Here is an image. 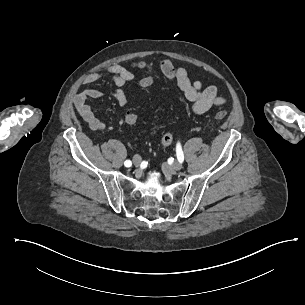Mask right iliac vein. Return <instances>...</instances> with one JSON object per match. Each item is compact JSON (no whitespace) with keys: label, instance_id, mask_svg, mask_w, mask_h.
I'll return each mask as SVG.
<instances>
[{"label":"right iliac vein","instance_id":"1","mask_svg":"<svg viewBox=\"0 0 305 305\" xmlns=\"http://www.w3.org/2000/svg\"><path fill=\"white\" fill-rule=\"evenodd\" d=\"M141 161H142V159H141L140 156L136 155V156L133 157L134 165L139 166L141 164Z\"/></svg>","mask_w":305,"mask_h":305}]
</instances>
